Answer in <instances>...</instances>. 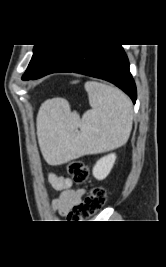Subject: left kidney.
<instances>
[{"label": "left kidney", "instance_id": "left-kidney-1", "mask_svg": "<svg viewBox=\"0 0 166 267\" xmlns=\"http://www.w3.org/2000/svg\"><path fill=\"white\" fill-rule=\"evenodd\" d=\"M115 159L116 155L114 153L100 158L93 167V176L98 180L105 179L113 168Z\"/></svg>", "mask_w": 166, "mask_h": 267}]
</instances>
